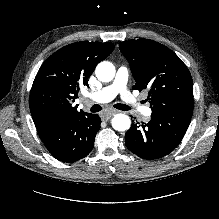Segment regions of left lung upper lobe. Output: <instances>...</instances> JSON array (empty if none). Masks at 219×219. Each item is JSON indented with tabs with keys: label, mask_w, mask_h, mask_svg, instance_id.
I'll return each mask as SVG.
<instances>
[{
	"label": "left lung upper lobe",
	"mask_w": 219,
	"mask_h": 219,
	"mask_svg": "<svg viewBox=\"0 0 219 219\" xmlns=\"http://www.w3.org/2000/svg\"><path fill=\"white\" fill-rule=\"evenodd\" d=\"M119 47L136 81L133 89L149 90L152 113L193 110L191 74L172 50L149 39L124 41Z\"/></svg>",
	"instance_id": "1"
}]
</instances>
